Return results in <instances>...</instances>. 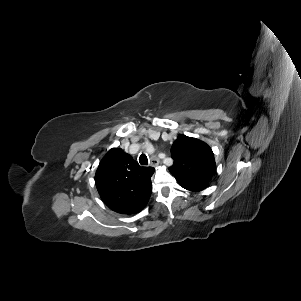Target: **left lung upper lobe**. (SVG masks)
Segmentation results:
<instances>
[{"label": "left lung upper lobe", "instance_id": "left-lung-upper-lobe-1", "mask_svg": "<svg viewBox=\"0 0 301 301\" xmlns=\"http://www.w3.org/2000/svg\"><path fill=\"white\" fill-rule=\"evenodd\" d=\"M171 155L174 163L169 171L181 187L194 192L207 187L216 171V163L206 143L180 135L172 145Z\"/></svg>", "mask_w": 301, "mask_h": 301}]
</instances>
